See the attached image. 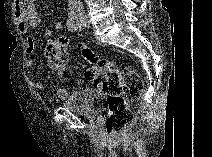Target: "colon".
<instances>
[{"instance_id":"1","label":"colon","mask_w":212,"mask_h":157,"mask_svg":"<svg viewBox=\"0 0 212 157\" xmlns=\"http://www.w3.org/2000/svg\"><path fill=\"white\" fill-rule=\"evenodd\" d=\"M82 54L90 64L85 71V78L110 96L105 130L108 136L117 137L133 120L127 100H134L140 96L142 80L133 69L119 67L110 59H98L88 47L82 48ZM67 55L64 39L52 41L45 48L47 65L55 73L64 72Z\"/></svg>"}]
</instances>
